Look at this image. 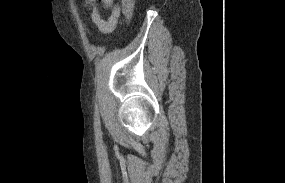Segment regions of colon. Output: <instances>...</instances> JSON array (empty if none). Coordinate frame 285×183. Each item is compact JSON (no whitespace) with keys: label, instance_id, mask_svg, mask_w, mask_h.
<instances>
[{"label":"colon","instance_id":"obj_1","mask_svg":"<svg viewBox=\"0 0 285 183\" xmlns=\"http://www.w3.org/2000/svg\"><path fill=\"white\" fill-rule=\"evenodd\" d=\"M124 16L129 21L133 16L134 0H120Z\"/></svg>","mask_w":285,"mask_h":183}]
</instances>
